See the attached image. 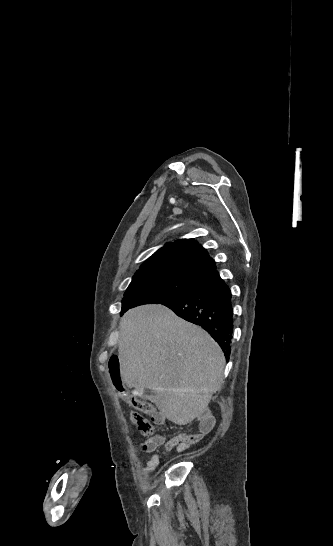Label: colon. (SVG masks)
Masks as SVG:
<instances>
[{
  "instance_id": "colon-1",
  "label": "colon",
  "mask_w": 333,
  "mask_h": 546,
  "mask_svg": "<svg viewBox=\"0 0 333 546\" xmlns=\"http://www.w3.org/2000/svg\"><path fill=\"white\" fill-rule=\"evenodd\" d=\"M108 369L116 389L120 394L125 396L127 403L135 410L129 415L130 422L137 426L143 435H152L154 429L149 420L144 417L143 414L152 416L155 413L154 407L143 399L127 396V391L122 387L120 361L117 356L110 357L108 361Z\"/></svg>"
}]
</instances>
